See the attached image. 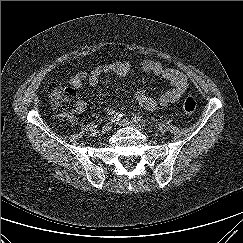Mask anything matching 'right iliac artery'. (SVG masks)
I'll return each mask as SVG.
<instances>
[{
	"mask_svg": "<svg viewBox=\"0 0 243 243\" xmlns=\"http://www.w3.org/2000/svg\"><path fill=\"white\" fill-rule=\"evenodd\" d=\"M122 117H123V114L117 112L114 116H112L109 123L113 124L115 122H118L119 120H121Z\"/></svg>",
	"mask_w": 243,
	"mask_h": 243,
	"instance_id": "82829eb1",
	"label": "right iliac artery"
}]
</instances>
